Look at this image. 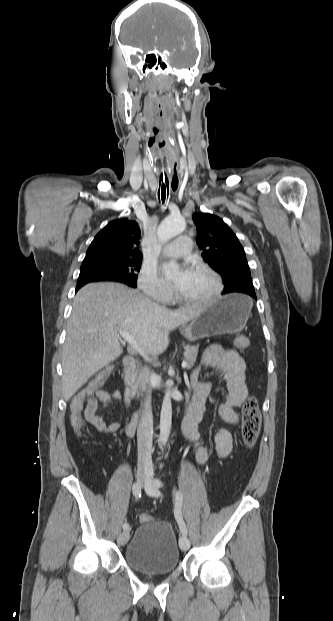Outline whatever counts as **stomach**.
Here are the masks:
<instances>
[{
	"label": "stomach",
	"mask_w": 333,
	"mask_h": 621,
	"mask_svg": "<svg viewBox=\"0 0 333 621\" xmlns=\"http://www.w3.org/2000/svg\"><path fill=\"white\" fill-rule=\"evenodd\" d=\"M252 300L243 294L226 295L203 308L191 323L190 341L240 331L246 324Z\"/></svg>",
	"instance_id": "0dacf381"
}]
</instances>
